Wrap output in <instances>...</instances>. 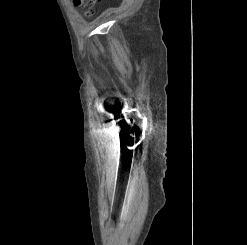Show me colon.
Listing matches in <instances>:
<instances>
[{"label":"colon","instance_id":"1","mask_svg":"<svg viewBox=\"0 0 247 245\" xmlns=\"http://www.w3.org/2000/svg\"><path fill=\"white\" fill-rule=\"evenodd\" d=\"M98 0H74L75 4L79 7L85 9L86 13H90V8L97 2Z\"/></svg>","mask_w":247,"mask_h":245}]
</instances>
